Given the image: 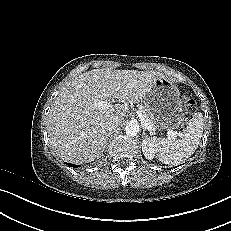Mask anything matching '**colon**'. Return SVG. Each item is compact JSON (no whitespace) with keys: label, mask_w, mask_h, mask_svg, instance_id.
<instances>
[{"label":"colon","mask_w":231,"mask_h":231,"mask_svg":"<svg viewBox=\"0 0 231 231\" xmlns=\"http://www.w3.org/2000/svg\"><path fill=\"white\" fill-rule=\"evenodd\" d=\"M184 108L187 113H193L195 111V103L188 96L183 97Z\"/></svg>","instance_id":"obj_1"}]
</instances>
